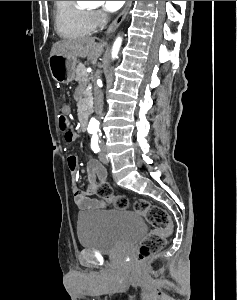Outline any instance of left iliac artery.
I'll list each match as a JSON object with an SVG mask.
<instances>
[{
	"instance_id": "obj_1",
	"label": "left iliac artery",
	"mask_w": 237,
	"mask_h": 300,
	"mask_svg": "<svg viewBox=\"0 0 237 300\" xmlns=\"http://www.w3.org/2000/svg\"><path fill=\"white\" fill-rule=\"evenodd\" d=\"M91 148L95 153H98L100 151L98 145V136L96 134H94L91 138Z\"/></svg>"
}]
</instances>
